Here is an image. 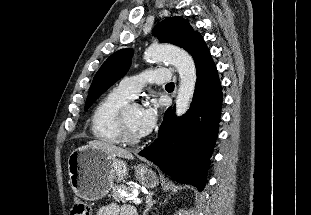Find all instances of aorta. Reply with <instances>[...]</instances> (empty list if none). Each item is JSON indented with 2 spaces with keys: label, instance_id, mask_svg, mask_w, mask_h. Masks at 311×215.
I'll use <instances>...</instances> for the list:
<instances>
[{
  "label": "aorta",
  "instance_id": "aorta-1",
  "mask_svg": "<svg viewBox=\"0 0 311 215\" xmlns=\"http://www.w3.org/2000/svg\"><path fill=\"white\" fill-rule=\"evenodd\" d=\"M150 61H167L179 73V89L176 97V114L187 112L192 101L197 81L196 67L192 56L185 50L173 45H152L144 53Z\"/></svg>",
  "mask_w": 311,
  "mask_h": 215
}]
</instances>
